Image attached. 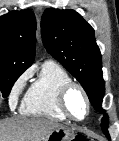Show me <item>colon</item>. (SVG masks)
I'll return each instance as SVG.
<instances>
[{
    "label": "colon",
    "mask_w": 119,
    "mask_h": 141,
    "mask_svg": "<svg viewBox=\"0 0 119 141\" xmlns=\"http://www.w3.org/2000/svg\"><path fill=\"white\" fill-rule=\"evenodd\" d=\"M73 141H87V138L83 135H77V136H75Z\"/></svg>",
    "instance_id": "colon-1"
}]
</instances>
